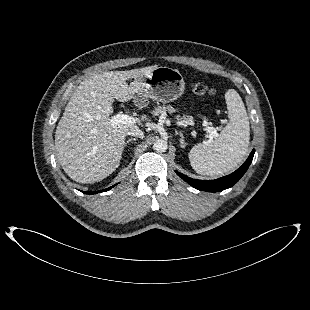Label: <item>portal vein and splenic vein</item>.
<instances>
[{"instance_id":"1","label":"portal vein and splenic vein","mask_w":310,"mask_h":310,"mask_svg":"<svg viewBox=\"0 0 310 310\" xmlns=\"http://www.w3.org/2000/svg\"><path fill=\"white\" fill-rule=\"evenodd\" d=\"M133 124L135 123V119L129 115L118 113L114 117L111 118L110 124ZM207 132L209 133V140H212L214 136H217V130L214 127H207Z\"/></svg>"}]
</instances>
